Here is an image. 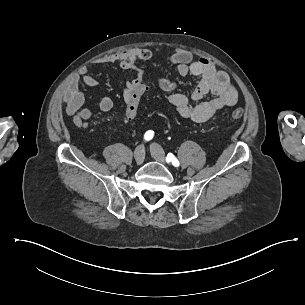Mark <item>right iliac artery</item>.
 <instances>
[{"label": "right iliac artery", "instance_id": "1", "mask_svg": "<svg viewBox=\"0 0 305 305\" xmlns=\"http://www.w3.org/2000/svg\"><path fill=\"white\" fill-rule=\"evenodd\" d=\"M153 136H154V131L148 130V131L145 133V135H144V139H145L146 141H149V140H151V139L153 138Z\"/></svg>", "mask_w": 305, "mask_h": 305}]
</instances>
